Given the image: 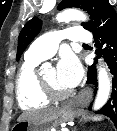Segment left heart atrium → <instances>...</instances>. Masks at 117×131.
<instances>
[{
    "label": "left heart atrium",
    "instance_id": "1",
    "mask_svg": "<svg viewBox=\"0 0 117 131\" xmlns=\"http://www.w3.org/2000/svg\"><path fill=\"white\" fill-rule=\"evenodd\" d=\"M56 70L59 83L68 89L77 86L83 75L80 62L71 53L64 54L61 57Z\"/></svg>",
    "mask_w": 117,
    "mask_h": 131
}]
</instances>
